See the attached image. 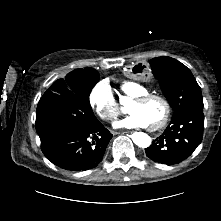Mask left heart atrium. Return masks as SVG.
I'll return each mask as SVG.
<instances>
[{"instance_id": "left-heart-atrium-1", "label": "left heart atrium", "mask_w": 221, "mask_h": 221, "mask_svg": "<svg viewBox=\"0 0 221 221\" xmlns=\"http://www.w3.org/2000/svg\"><path fill=\"white\" fill-rule=\"evenodd\" d=\"M116 127H125V128H136V127H147V122L139 114L131 113L129 116L123 120L115 123Z\"/></svg>"}]
</instances>
